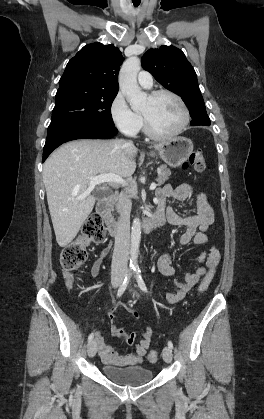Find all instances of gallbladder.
Returning a JSON list of instances; mask_svg holds the SVG:
<instances>
[{
    "mask_svg": "<svg viewBox=\"0 0 264 419\" xmlns=\"http://www.w3.org/2000/svg\"><path fill=\"white\" fill-rule=\"evenodd\" d=\"M102 193H103V192H102L101 190H97V191H96V195H97L98 197H100V196L102 195Z\"/></svg>",
    "mask_w": 264,
    "mask_h": 419,
    "instance_id": "1",
    "label": "gallbladder"
}]
</instances>
